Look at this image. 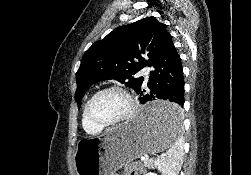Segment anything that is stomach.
<instances>
[{"label":"stomach","mask_w":251,"mask_h":175,"mask_svg":"<svg viewBox=\"0 0 251 175\" xmlns=\"http://www.w3.org/2000/svg\"><path fill=\"white\" fill-rule=\"evenodd\" d=\"M172 100H147L133 119L113 127L104 135H89L79 139L73 155L76 175H114L138 155L156 154L170 148L172 141L182 134L180 114Z\"/></svg>","instance_id":"1"}]
</instances>
